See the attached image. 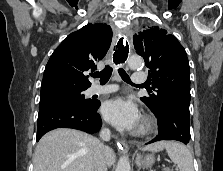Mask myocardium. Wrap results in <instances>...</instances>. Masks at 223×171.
Segmentation results:
<instances>
[{"label": "myocardium", "instance_id": "myocardium-1", "mask_svg": "<svg viewBox=\"0 0 223 171\" xmlns=\"http://www.w3.org/2000/svg\"><path fill=\"white\" fill-rule=\"evenodd\" d=\"M154 129V122L149 117H144L141 120V123L139 125L138 130L136 131V134L139 136H144L149 134Z\"/></svg>", "mask_w": 223, "mask_h": 171}]
</instances>
